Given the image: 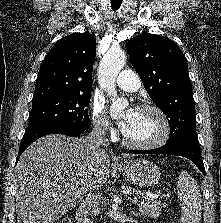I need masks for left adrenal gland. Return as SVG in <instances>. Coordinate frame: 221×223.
I'll return each mask as SVG.
<instances>
[{"instance_id": "obj_1", "label": "left adrenal gland", "mask_w": 221, "mask_h": 223, "mask_svg": "<svg viewBox=\"0 0 221 223\" xmlns=\"http://www.w3.org/2000/svg\"><path fill=\"white\" fill-rule=\"evenodd\" d=\"M133 215L138 216V213L132 212Z\"/></svg>"}]
</instances>
